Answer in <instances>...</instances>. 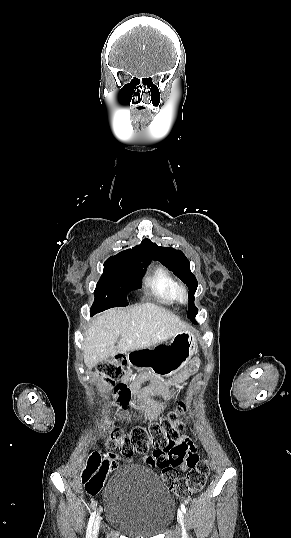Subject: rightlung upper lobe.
Returning a JSON list of instances; mask_svg holds the SVG:
<instances>
[{
	"label": "right lung upper lobe",
	"mask_w": 291,
	"mask_h": 538,
	"mask_svg": "<svg viewBox=\"0 0 291 538\" xmlns=\"http://www.w3.org/2000/svg\"><path fill=\"white\" fill-rule=\"evenodd\" d=\"M111 258H125L130 260H149L154 258L153 243L149 239H144L140 245H136L132 249L121 251Z\"/></svg>",
	"instance_id": "1"
}]
</instances>
